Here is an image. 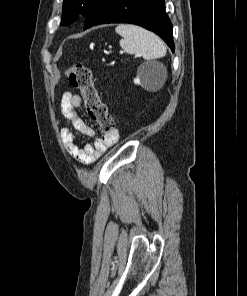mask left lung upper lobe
<instances>
[{
	"label": "left lung upper lobe",
	"instance_id": "5c2ea615",
	"mask_svg": "<svg viewBox=\"0 0 247 296\" xmlns=\"http://www.w3.org/2000/svg\"><path fill=\"white\" fill-rule=\"evenodd\" d=\"M102 0H64L63 2V17L61 23L69 25L81 14L89 15Z\"/></svg>",
	"mask_w": 247,
	"mask_h": 296
}]
</instances>
